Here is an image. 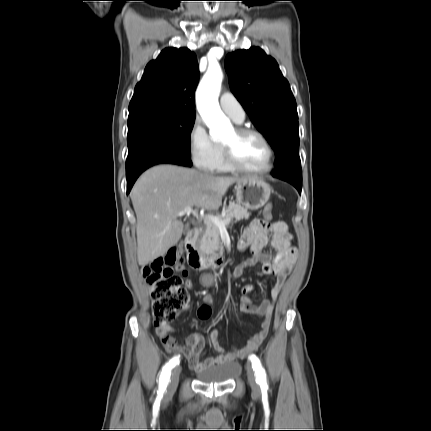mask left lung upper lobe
<instances>
[{"label": "left lung upper lobe", "instance_id": "obj_1", "mask_svg": "<svg viewBox=\"0 0 431 431\" xmlns=\"http://www.w3.org/2000/svg\"><path fill=\"white\" fill-rule=\"evenodd\" d=\"M231 91L275 151L271 174L301 176L297 106L277 62L259 47L227 55Z\"/></svg>", "mask_w": 431, "mask_h": 431}]
</instances>
